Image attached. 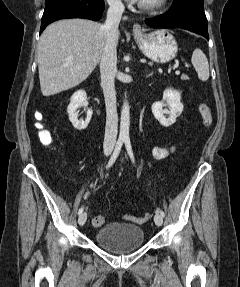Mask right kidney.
<instances>
[{"mask_svg":"<svg viewBox=\"0 0 240 287\" xmlns=\"http://www.w3.org/2000/svg\"><path fill=\"white\" fill-rule=\"evenodd\" d=\"M87 106H88V101H87L86 92L82 89L76 91L70 99V104L67 107V113L69 115L70 122L72 123L74 128L77 130L86 129L91 120V117L93 114V111L91 109L87 110L86 118L84 120L78 119L77 109L80 107H87Z\"/></svg>","mask_w":240,"mask_h":287,"instance_id":"obj_1","label":"right kidney"}]
</instances>
